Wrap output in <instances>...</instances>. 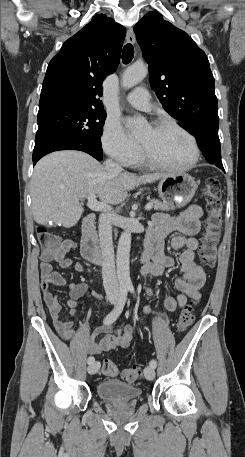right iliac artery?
Returning a JSON list of instances; mask_svg holds the SVG:
<instances>
[{"label":"right iliac artery","mask_w":245,"mask_h":457,"mask_svg":"<svg viewBox=\"0 0 245 457\" xmlns=\"http://www.w3.org/2000/svg\"><path fill=\"white\" fill-rule=\"evenodd\" d=\"M127 294H128V288L121 287L119 290L118 301H117L114 309L104 319L103 323L105 325H109V324L113 323L119 317V315L123 311L124 305L126 303ZM94 361H95V358L93 356H89L87 359L88 364H91Z\"/></svg>","instance_id":"right-iliac-artery-1"}]
</instances>
